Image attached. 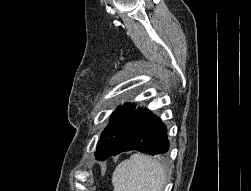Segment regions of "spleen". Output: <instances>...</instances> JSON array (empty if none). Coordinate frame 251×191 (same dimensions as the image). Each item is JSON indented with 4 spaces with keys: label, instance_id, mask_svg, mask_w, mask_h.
I'll return each instance as SVG.
<instances>
[{
    "label": "spleen",
    "instance_id": "3e777b00",
    "mask_svg": "<svg viewBox=\"0 0 251 191\" xmlns=\"http://www.w3.org/2000/svg\"><path fill=\"white\" fill-rule=\"evenodd\" d=\"M166 169L144 153H133L118 163L112 173L113 191H162Z\"/></svg>",
    "mask_w": 251,
    "mask_h": 191
}]
</instances>
